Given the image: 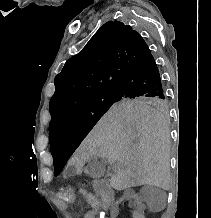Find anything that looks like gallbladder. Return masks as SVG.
<instances>
[{
  "label": "gallbladder",
  "mask_w": 211,
  "mask_h": 218,
  "mask_svg": "<svg viewBox=\"0 0 211 218\" xmlns=\"http://www.w3.org/2000/svg\"><path fill=\"white\" fill-rule=\"evenodd\" d=\"M104 164H106V160L99 162L98 158H91L85 168L86 174H89L91 178H102L105 174Z\"/></svg>",
  "instance_id": "obj_1"
}]
</instances>
